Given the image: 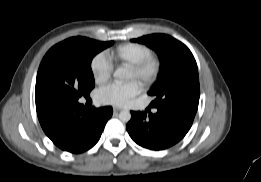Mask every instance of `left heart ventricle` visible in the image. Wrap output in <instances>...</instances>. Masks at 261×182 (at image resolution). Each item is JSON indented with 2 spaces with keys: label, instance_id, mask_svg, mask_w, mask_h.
<instances>
[{
  "label": "left heart ventricle",
  "instance_id": "b2bd125f",
  "mask_svg": "<svg viewBox=\"0 0 261 182\" xmlns=\"http://www.w3.org/2000/svg\"><path fill=\"white\" fill-rule=\"evenodd\" d=\"M135 79H137L135 73L130 70L129 71V80H135Z\"/></svg>",
  "mask_w": 261,
  "mask_h": 182
}]
</instances>
